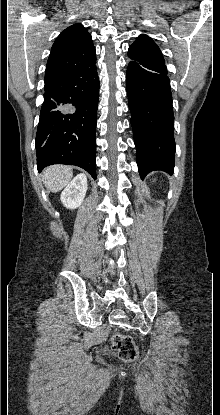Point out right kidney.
<instances>
[{
    "mask_svg": "<svg viewBox=\"0 0 220 415\" xmlns=\"http://www.w3.org/2000/svg\"><path fill=\"white\" fill-rule=\"evenodd\" d=\"M87 177L78 174L61 193V202L68 209H75L81 205L87 192Z\"/></svg>",
    "mask_w": 220,
    "mask_h": 415,
    "instance_id": "right-kidney-1",
    "label": "right kidney"
}]
</instances>
